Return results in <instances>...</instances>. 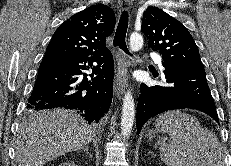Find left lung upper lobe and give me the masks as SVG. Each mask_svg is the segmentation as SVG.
Listing matches in <instances>:
<instances>
[{"mask_svg": "<svg viewBox=\"0 0 231 166\" xmlns=\"http://www.w3.org/2000/svg\"><path fill=\"white\" fill-rule=\"evenodd\" d=\"M141 31L148 37V47L158 50L163 62L180 67L203 68L198 48L183 24L157 7H148Z\"/></svg>", "mask_w": 231, "mask_h": 166, "instance_id": "left-lung-upper-lobe-1", "label": "left lung upper lobe"}]
</instances>
